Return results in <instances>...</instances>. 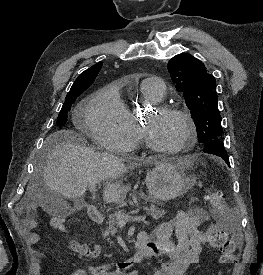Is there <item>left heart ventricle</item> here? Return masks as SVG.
I'll return each instance as SVG.
<instances>
[{
	"label": "left heart ventricle",
	"mask_w": 263,
	"mask_h": 275,
	"mask_svg": "<svg viewBox=\"0 0 263 275\" xmlns=\"http://www.w3.org/2000/svg\"><path fill=\"white\" fill-rule=\"evenodd\" d=\"M144 124L151 140L165 149L178 147L188 132L186 122L181 117L172 114L152 112L145 118Z\"/></svg>",
	"instance_id": "b2bd125f"
}]
</instances>
